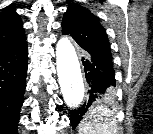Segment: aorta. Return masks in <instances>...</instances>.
I'll return each instance as SVG.
<instances>
[{"instance_id": "762f6f07", "label": "aorta", "mask_w": 153, "mask_h": 134, "mask_svg": "<svg viewBox=\"0 0 153 134\" xmlns=\"http://www.w3.org/2000/svg\"><path fill=\"white\" fill-rule=\"evenodd\" d=\"M56 67L61 92L69 107H78L83 101L85 86L76 50L67 37L56 45Z\"/></svg>"}]
</instances>
